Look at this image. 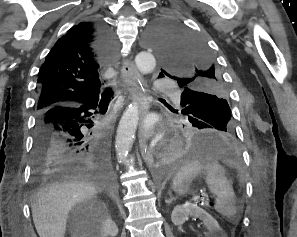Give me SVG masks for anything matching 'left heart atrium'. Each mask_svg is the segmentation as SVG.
I'll return each mask as SVG.
<instances>
[{
    "label": "left heart atrium",
    "mask_w": 297,
    "mask_h": 237,
    "mask_svg": "<svg viewBox=\"0 0 297 237\" xmlns=\"http://www.w3.org/2000/svg\"><path fill=\"white\" fill-rule=\"evenodd\" d=\"M142 129L144 131V134L151 135L153 132V126L152 123L149 120H144L142 122Z\"/></svg>",
    "instance_id": "left-heart-atrium-1"
}]
</instances>
